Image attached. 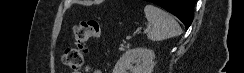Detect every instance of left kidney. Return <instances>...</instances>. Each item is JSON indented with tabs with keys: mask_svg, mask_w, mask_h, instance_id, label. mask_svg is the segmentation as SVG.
Returning a JSON list of instances; mask_svg holds the SVG:
<instances>
[{
	"mask_svg": "<svg viewBox=\"0 0 244 73\" xmlns=\"http://www.w3.org/2000/svg\"><path fill=\"white\" fill-rule=\"evenodd\" d=\"M154 59L155 53L151 49H129L117 61L113 73H152Z\"/></svg>",
	"mask_w": 244,
	"mask_h": 73,
	"instance_id": "5707ae66",
	"label": "left kidney"
}]
</instances>
